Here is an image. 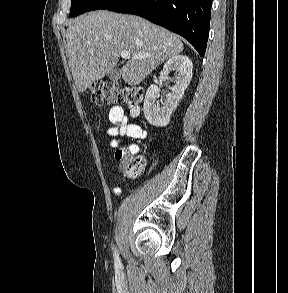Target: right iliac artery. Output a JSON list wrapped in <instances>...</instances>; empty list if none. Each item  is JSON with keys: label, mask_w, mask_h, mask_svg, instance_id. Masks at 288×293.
Wrapping results in <instances>:
<instances>
[{"label": "right iliac artery", "mask_w": 288, "mask_h": 293, "mask_svg": "<svg viewBox=\"0 0 288 293\" xmlns=\"http://www.w3.org/2000/svg\"><path fill=\"white\" fill-rule=\"evenodd\" d=\"M114 253H115V256H114V257H115V263H116V264H120L119 255H118V253H117V250H116V249L114 250Z\"/></svg>", "instance_id": "obj_1"}]
</instances>
